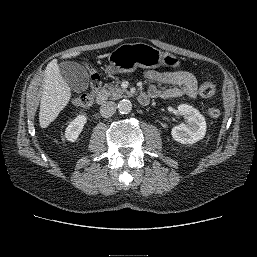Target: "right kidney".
Returning a JSON list of instances; mask_svg holds the SVG:
<instances>
[{"mask_svg": "<svg viewBox=\"0 0 257 257\" xmlns=\"http://www.w3.org/2000/svg\"><path fill=\"white\" fill-rule=\"evenodd\" d=\"M86 122L87 117L85 115H79L72 122H70L65 130L66 140L70 142L76 141Z\"/></svg>", "mask_w": 257, "mask_h": 257, "instance_id": "obj_1", "label": "right kidney"}]
</instances>
